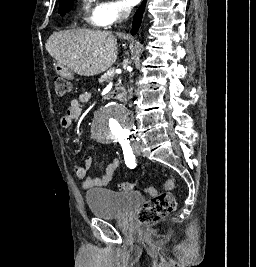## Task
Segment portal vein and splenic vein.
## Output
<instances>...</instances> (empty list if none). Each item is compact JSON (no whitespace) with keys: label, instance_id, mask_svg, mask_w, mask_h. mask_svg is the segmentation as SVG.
Returning a JSON list of instances; mask_svg holds the SVG:
<instances>
[{"label":"portal vein and splenic vein","instance_id":"portal-vein-and-splenic-vein-1","mask_svg":"<svg viewBox=\"0 0 256 267\" xmlns=\"http://www.w3.org/2000/svg\"><path fill=\"white\" fill-rule=\"evenodd\" d=\"M110 71L111 72H107L106 76H112V74H115V72H114L115 71V68L114 67H111L110 68Z\"/></svg>","mask_w":256,"mask_h":267}]
</instances>
